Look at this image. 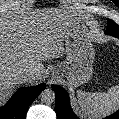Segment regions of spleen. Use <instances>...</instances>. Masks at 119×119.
<instances>
[{
	"mask_svg": "<svg viewBox=\"0 0 119 119\" xmlns=\"http://www.w3.org/2000/svg\"><path fill=\"white\" fill-rule=\"evenodd\" d=\"M77 112L84 119H94L108 115L119 108V86L112 87L108 93H95L78 90Z\"/></svg>",
	"mask_w": 119,
	"mask_h": 119,
	"instance_id": "1",
	"label": "spleen"
}]
</instances>
